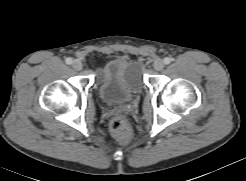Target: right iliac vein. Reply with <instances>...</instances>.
Masks as SVG:
<instances>
[{
    "instance_id": "1",
    "label": "right iliac vein",
    "mask_w": 246,
    "mask_h": 181,
    "mask_svg": "<svg viewBox=\"0 0 246 181\" xmlns=\"http://www.w3.org/2000/svg\"><path fill=\"white\" fill-rule=\"evenodd\" d=\"M72 67L75 69V70H81L83 65H82V62L80 60H74L72 62Z\"/></svg>"
}]
</instances>
